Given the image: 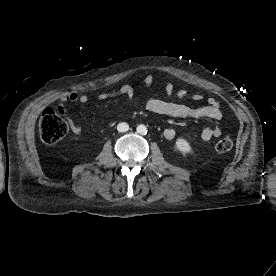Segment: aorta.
I'll return each mask as SVG.
<instances>
[{
  "label": "aorta",
  "instance_id": "1",
  "mask_svg": "<svg viewBox=\"0 0 276 276\" xmlns=\"http://www.w3.org/2000/svg\"><path fill=\"white\" fill-rule=\"evenodd\" d=\"M137 133L141 134V135H145L147 134V127L143 124L138 125L136 128Z\"/></svg>",
  "mask_w": 276,
  "mask_h": 276
}]
</instances>
